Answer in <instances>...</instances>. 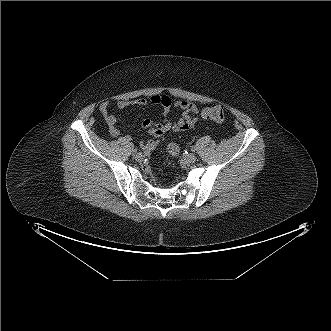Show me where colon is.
I'll return each instance as SVG.
<instances>
[{
  "mask_svg": "<svg viewBox=\"0 0 331 331\" xmlns=\"http://www.w3.org/2000/svg\"><path fill=\"white\" fill-rule=\"evenodd\" d=\"M201 116L204 119L212 120L215 122H223L225 120V112L221 106H208L201 111ZM169 153L176 155L178 153V147L176 144L169 145Z\"/></svg>",
  "mask_w": 331,
  "mask_h": 331,
  "instance_id": "colon-1",
  "label": "colon"
}]
</instances>
